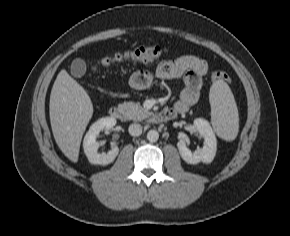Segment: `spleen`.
I'll return each instance as SVG.
<instances>
[{
    "mask_svg": "<svg viewBox=\"0 0 290 236\" xmlns=\"http://www.w3.org/2000/svg\"><path fill=\"white\" fill-rule=\"evenodd\" d=\"M211 123L217 135L227 141L236 138L239 129L238 109L230 87L223 80L210 88Z\"/></svg>",
    "mask_w": 290,
    "mask_h": 236,
    "instance_id": "3e777b00",
    "label": "spleen"
}]
</instances>
